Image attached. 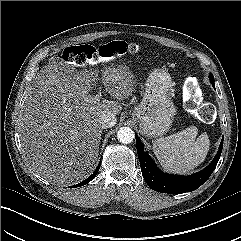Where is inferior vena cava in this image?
I'll return each instance as SVG.
<instances>
[{
  "label": "inferior vena cava",
  "mask_w": 241,
  "mask_h": 241,
  "mask_svg": "<svg viewBox=\"0 0 241 241\" xmlns=\"http://www.w3.org/2000/svg\"><path fill=\"white\" fill-rule=\"evenodd\" d=\"M116 120L115 115L111 112H105L99 116V123L103 129L114 126L116 124Z\"/></svg>",
  "instance_id": "1"
}]
</instances>
